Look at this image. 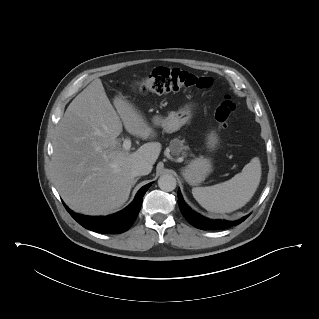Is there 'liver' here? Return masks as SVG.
<instances>
[{"label":"liver","instance_id":"1","mask_svg":"<svg viewBox=\"0 0 319 319\" xmlns=\"http://www.w3.org/2000/svg\"><path fill=\"white\" fill-rule=\"evenodd\" d=\"M115 111L99 78L70 103L58 124L53 152L55 186L75 212L107 215L129 198L135 176L131 166L156 162L161 144L148 142L133 153L121 148L117 137L122 122L128 133L142 139L156 133L140 112L121 96ZM121 118V120H120Z\"/></svg>","mask_w":319,"mask_h":319}]
</instances>
